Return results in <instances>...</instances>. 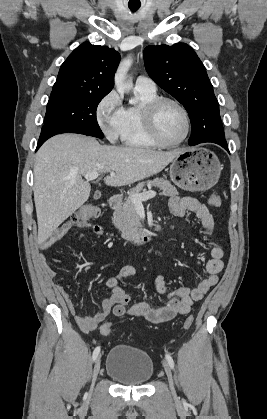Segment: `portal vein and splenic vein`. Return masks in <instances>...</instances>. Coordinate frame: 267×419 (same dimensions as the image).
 Wrapping results in <instances>:
<instances>
[{
    "mask_svg": "<svg viewBox=\"0 0 267 419\" xmlns=\"http://www.w3.org/2000/svg\"><path fill=\"white\" fill-rule=\"evenodd\" d=\"M110 175L115 176V173L110 172ZM98 176H99V173H97V172L88 173V174L84 175L86 180H94ZM155 196H156V192L153 191V190H149V191L141 193V194L132 195L131 200L135 205L140 206V205H142V201L148 200V199L153 198Z\"/></svg>",
    "mask_w": 267,
    "mask_h": 419,
    "instance_id": "18ae733b",
    "label": "portal vein and splenic vein"
}]
</instances>
